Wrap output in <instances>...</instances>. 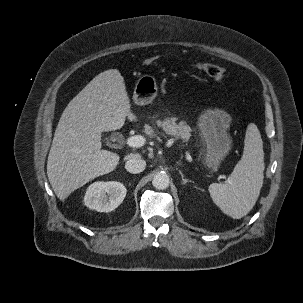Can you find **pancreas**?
Returning a JSON list of instances; mask_svg holds the SVG:
<instances>
[{"instance_id": "obj_1", "label": "pancreas", "mask_w": 303, "mask_h": 303, "mask_svg": "<svg viewBox=\"0 0 303 303\" xmlns=\"http://www.w3.org/2000/svg\"><path fill=\"white\" fill-rule=\"evenodd\" d=\"M177 118H165L163 121L157 120L156 124L158 127H162L163 131L167 135H172L176 139L183 141H189L191 137L192 129L185 122H176Z\"/></svg>"}]
</instances>
